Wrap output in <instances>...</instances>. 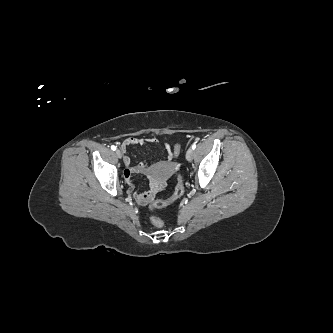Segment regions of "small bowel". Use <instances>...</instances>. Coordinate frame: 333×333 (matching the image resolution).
Instances as JSON below:
<instances>
[{
    "label": "small bowel",
    "mask_w": 333,
    "mask_h": 333,
    "mask_svg": "<svg viewBox=\"0 0 333 333\" xmlns=\"http://www.w3.org/2000/svg\"><path fill=\"white\" fill-rule=\"evenodd\" d=\"M157 139L155 138H137V137H127L122 145L121 149L123 152H126L130 146L134 145H144L145 143H156ZM164 148L168 154L166 162H159L153 165H147L146 163H140L137 166L132 165L131 159L129 156H125L124 164L126 169L124 171V178L127 183L133 188L132 174L133 173H144L149 176V189L144 192H135L134 198L140 205H146L151 202L155 195L165 187V181L157 177L158 173H166L173 169V164L171 160L173 158L171 145L168 143L164 144Z\"/></svg>",
    "instance_id": "c3829d8e"
}]
</instances>
